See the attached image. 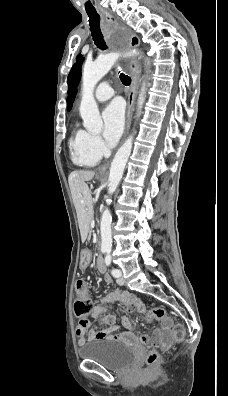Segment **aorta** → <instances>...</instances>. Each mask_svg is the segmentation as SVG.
<instances>
[{
  "mask_svg": "<svg viewBox=\"0 0 228 396\" xmlns=\"http://www.w3.org/2000/svg\"><path fill=\"white\" fill-rule=\"evenodd\" d=\"M138 54L136 50H127L120 52H112L98 57L92 63H86L82 74V99L80 103V115L83 120L84 128L93 133H99L102 130L103 122L98 110L97 103L94 99V88L100 79L113 67L114 63L120 56H131ZM149 63V62H148ZM146 87L143 82L138 102V116L145 102ZM133 144V135L129 136L123 145L118 149L115 157L111 163L109 174L108 194L112 195L123 176V172L131 154ZM112 216L110 210L106 208L101 217L100 231H101V248L103 251H110L112 247V232H111Z\"/></svg>",
  "mask_w": 228,
  "mask_h": 396,
  "instance_id": "obj_1",
  "label": "aorta"
}]
</instances>
